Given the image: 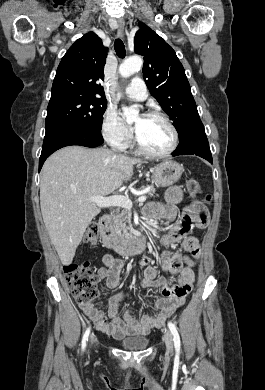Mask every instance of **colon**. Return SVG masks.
Masks as SVG:
<instances>
[{"mask_svg":"<svg viewBox=\"0 0 265 390\" xmlns=\"http://www.w3.org/2000/svg\"><path fill=\"white\" fill-rule=\"evenodd\" d=\"M187 189L194 196L201 192L199 183L194 179L188 180ZM210 201L211 196L207 195L204 198V202L209 203ZM85 240L90 244L97 242L98 227L96 224H91L88 227ZM64 273L67 277L70 291L80 305L90 304L98 297L97 283L99 277L89 262L67 264L64 266Z\"/></svg>","mask_w":265,"mask_h":390,"instance_id":"1","label":"colon"}]
</instances>
